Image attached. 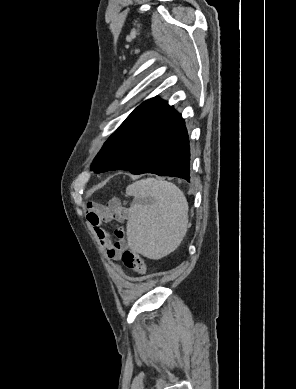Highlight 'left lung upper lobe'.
<instances>
[{
    "mask_svg": "<svg viewBox=\"0 0 296 389\" xmlns=\"http://www.w3.org/2000/svg\"><path fill=\"white\" fill-rule=\"evenodd\" d=\"M98 165H99L98 160L95 157V159H94V161L92 163V166H91L92 168L91 169L95 172L97 167H98Z\"/></svg>",
    "mask_w": 296,
    "mask_h": 389,
    "instance_id": "5c2ea615",
    "label": "left lung upper lobe"
}]
</instances>
